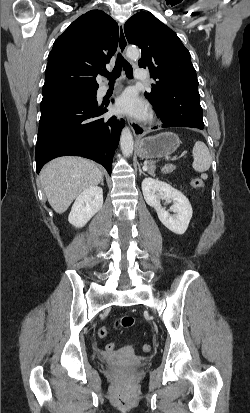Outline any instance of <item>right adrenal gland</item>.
Returning a JSON list of instances; mask_svg holds the SVG:
<instances>
[{"instance_id":"obj_1","label":"right adrenal gland","mask_w":250,"mask_h":413,"mask_svg":"<svg viewBox=\"0 0 250 413\" xmlns=\"http://www.w3.org/2000/svg\"><path fill=\"white\" fill-rule=\"evenodd\" d=\"M101 185H104V182H103V180H102V182H101Z\"/></svg>"}]
</instances>
